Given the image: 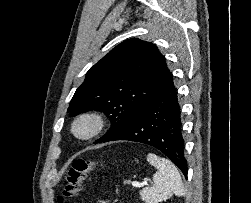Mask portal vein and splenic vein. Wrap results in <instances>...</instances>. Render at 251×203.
Here are the masks:
<instances>
[{
	"mask_svg": "<svg viewBox=\"0 0 251 203\" xmlns=\"http://www.w3.org/2000/svg\"><path fill=\"white\" fill-rule=\"evenodd\" d=\"M146 185H148V183L146 181H144V182L133 181L132 182V186L137 187V188L144 187Z\"/></svg>",
	"mask_w": 251,
	"mask_h": 203,
	"instance_id": "portal-vein-and-splenic-vein-1",
	"label": "portal vein and splenic vein"
}]
</instances>
